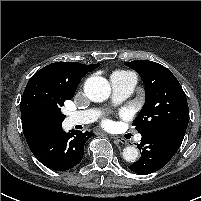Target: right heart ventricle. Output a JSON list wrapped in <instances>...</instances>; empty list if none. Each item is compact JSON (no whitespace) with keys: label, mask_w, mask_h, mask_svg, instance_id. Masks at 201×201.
<instances>
[{"label":"right heart ventricle","mask_w":201,"mask_h":201,"mask_svg":"<svg viewBox=\"0 0 201 201\" xmlns=\"http://www.w3.org/2000/svg\"><path fill=\"white\" fill-rule=\"evenodd\" d=\"M115 73L126 74V73H128V72H126V71H116V72H114L113 74H115Z\"/></svg>","instance_id":"obj_1"}]
</instances>
